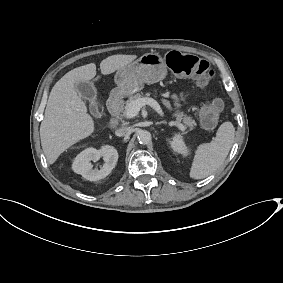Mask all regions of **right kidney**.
<instances>
[{
    "label": "right kidney",
    "mask_w": 283,
    "mask_h": 283,
    "mask_svg": "<svg viewBox=\"0 0 283 283\" xmlns=\"http://www.w3.org/2000/svg\"><path fill=\"white\" fill-rule=\"evenodd\" d=\"M103 157L104 164L100 170L92 169L90 161ZM118 161V152L113 146L105 145L101 149L87 148L79 153L73 161L72 169L89 181H97L108 176Z\"/></svg>",
    "instance_id": "ca27d5eb"
}]
</instances>
